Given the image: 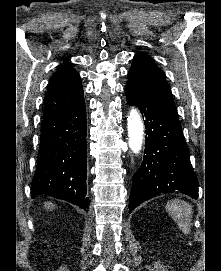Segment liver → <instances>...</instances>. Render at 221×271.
Wrapping results in <instances>:
<instances>
[{
    "mask_svg": "<svg viewBox=\"0 0 221 271\" xmlns=\"http://www.w3.org/2000/svg\"><path fill=\"white\" fill-rule=\"evenodd\" d=\"M45 207H47V209H54L53 203H45Z\"/></svg>",
    "mask_w": 221,
    "mask_h": 271,
    "instance_id": "1",
    "label": "liver"
}]
</instances>
